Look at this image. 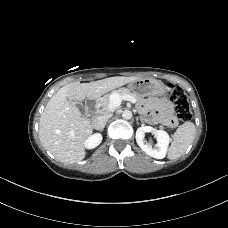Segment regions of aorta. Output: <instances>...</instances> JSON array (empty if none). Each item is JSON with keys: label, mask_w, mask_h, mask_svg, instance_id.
Returning <instances> with one entry per match:
<instances>
[{"label": "aorta", "mask_w": 228, "mask_h": 228, "mask_svg": "<svg viewBox=\"0 0 228 228\" xmlns=\"http://www.w3.org/2000/svg\"><path fill=\"white\" fill-rule=\"evenodd\" d=\"M122 117L126 120H129L132 118V112L130 110H124L122 112Z\"/></svg>", "instance_id": "762f6f07"}]
</instances>
